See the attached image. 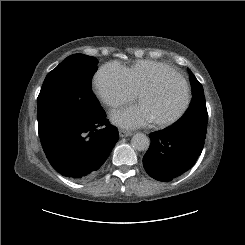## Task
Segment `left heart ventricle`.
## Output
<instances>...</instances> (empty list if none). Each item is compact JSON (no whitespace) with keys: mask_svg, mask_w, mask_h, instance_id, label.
Returning <instances> with one entry per match:
<instances>
[{"mask_svg":"<svg viewBox=\"0 0 245 245\" xmlns=\"http://www.w3.org/2000/svg\"><path fill=\"white\" fill-rule=\"evenodd\" d=\"M160 90L143 94L138 102L144 105L153 121H160L174 116L185 102V90L182 83L174 75H166L159 80Z\"/></svg>","mask_w":245,"mask_h":245,"instance_id":"b2bd125f","label":"left heart ventricle"}]
</instances>
